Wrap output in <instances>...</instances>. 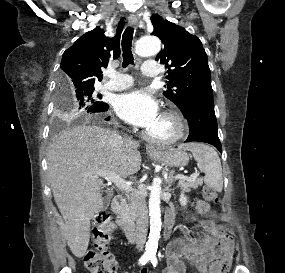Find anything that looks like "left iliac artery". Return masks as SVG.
I'll use <instances>...</instances> for the list:
<instances>
[{
    "instance_id": "44dca946",
    "label": "left iliac artery",
    "mask_w": 285,
    "mask_h": 273,
    "mask_svg": "<svg viewBox=\"0 0 285 273\" xmlns=\"http://www.w3.org/2000/svg\"><path fill=\"white\" fill-rule=\"evenodd\" d=\"M150 261H151V263H152V265L154 266V267H156V265H157V258H156V255H151L150 256Z\"/></svg>"
}]
</instances>
